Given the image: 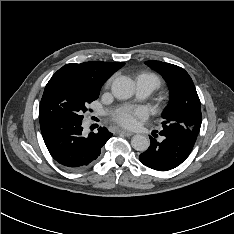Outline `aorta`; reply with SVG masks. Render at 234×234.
<instances>
[{"label":"aorta","instance_id":"aorta-1","mask_svg":"<svg viewBox=\"0 0 234 234\" xmlns=\"http://www.w3.org/2000/svg\"><path fill=\"white\" fill-rule=\"evenodd\" d=\"M111 89L116 98L125 100L133 96L135 85L133 80L122 76L113 81ZM131 145L135 150L144 152L149 148L150 141L146 136L136 134L131 139Z\"/></svg>","mask_w":234,"mask_h":234}]
</instances>
